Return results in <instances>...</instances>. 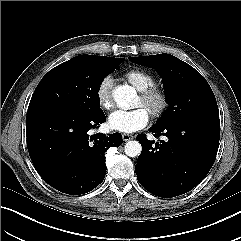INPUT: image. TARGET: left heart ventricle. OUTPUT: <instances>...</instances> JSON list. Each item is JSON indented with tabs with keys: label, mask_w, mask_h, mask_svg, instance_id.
<instances>
[{
	"label": "left heart ventricle",
	"mask_w": 241,
	"mask_h": 241,
	"mask_svg": "<svg viewBox=\"0 0 241 241\" xmlns=\"http://www.w3.org/2000/svg\"><path fill=\"white\" fill-rule=\"evenodd\" d=\"M136 106H144L140 97H138V99H137Z\"/></svg>",
	"instance_id": "b2bd125f"
}]
</instances>
